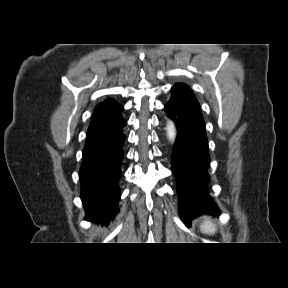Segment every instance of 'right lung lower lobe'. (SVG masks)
<instances>
[{"label": "right lung lower lobe", "mask_w": 288, "mask_h": 288, "mask_svg": "<svg viewBox=\"0 0 288 288\" xmlns=\"http://www.w3.org/2000/svg\"><path fill=\"white\" fill-rule=\"evenodd\" d=\"M121 128L112 137L95 145L85 146L80 168V197L86 219L109 222L118 213L119 181L122 177L123 144Z\"/></svg>", "instance_id": "right-lung-lower-lobe-1"}]
</instances>
